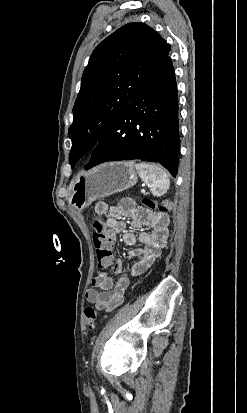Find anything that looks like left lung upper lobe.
<instances>
[{
	"instance_id": "left-lung-upper-lobe-1",
	"label": "left lung upper lobe",
	"mask_w": 247,
	"mask_h": 413,
	"mask_svg": "<svg viewBox=\"0 0 247 413\" xmlns=\"http://www.w3.org/2000/svg\"><path fill=\"white\" fill-rule=\"evenodd\" d=\"M170 45L151 27L129 23L93 51L69 127L72 167L94 149L142 84L166 58Z\"/></svg>"
}]
</instances>
